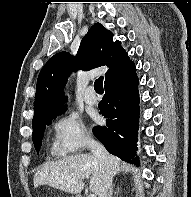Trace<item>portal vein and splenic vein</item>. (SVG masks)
Masks as SVG:
<instances>
[{
    "label": "portal vein and splenic vein",
    "mask_w": 191,
    "mask_h": 197,
    "mask_svg": "<svg viewBox=\"0 0 191 197\" xmlns=\"http://www.w3.org/2000/svg\"><path fill=\"white\" fill-rule=\"evenodd\" d=\"M89 197H96V195L95 194H90Z\"/></svg>",
    "instance_id": "1"
}]
</instances>
